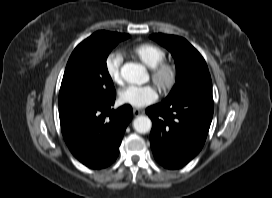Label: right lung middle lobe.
I'll return each instance as SVG.
<instances>
[{"instance_id":"dd1d6c3e","label":"right lung middle lobe","mask_w":272,"mask_h":198,"mask_svg":"<svg viewBox=\"0 0 272 198\" xmlns=\"http://www.w3.org/2000/svg\"><path fill=\"white\" fill-rule=\"evenodd\" d=\"M129 37L116 34L97 38L70 57L59 92V107L104 102L116 96L106 59L120 41Z\"/></svg>"}]
</instances>
